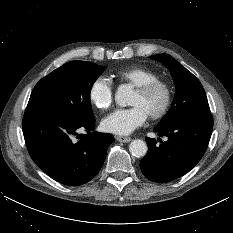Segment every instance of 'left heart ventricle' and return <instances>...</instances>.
<instances>
[{"mask_svg":"<svg viewBox=\"0 0 233 233\" xmlns=\"http://www.w3.org/2000/svg\"><path fill=\"white\" fill-rule=\"evenodd\" d=\"M164 98L165 93L162 88H157L148 95H141L134 91L130 98L129 105L139 106L146 115L149 116L161 108Z\"/></svg>","mask_w":233,"mask_h":233,"instance_id":"left-heart-ventricle-1","label":"left heart ventricle"}]
</instances>
